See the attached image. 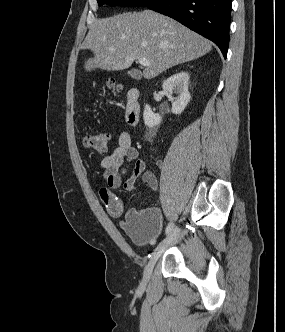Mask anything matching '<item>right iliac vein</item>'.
Returning <instances> with one entry per match:
<instances>
[{
	"mask_svg": "<svg viewBox=\"0 0 285 332\" xmlns=\"http://www.w3.org/2000/svg\"><path fill=\"white\" fill-rule=\"evenodd\" d=\"M180 229L179 227H174L167 235V237L157 246L155 252L152 254L150 260L148 261L144 273H143V280L148 281L152 270L158 261L159 257L161 256L162 252L166 247H168L171 243H173L177 237L179 236Z\"/></svg>",
	"mask_w": 285,
	"mask_h": 332,
	"instance_id": "63e3f726",
	"label": "right iliac vein"
}]
</instances>
